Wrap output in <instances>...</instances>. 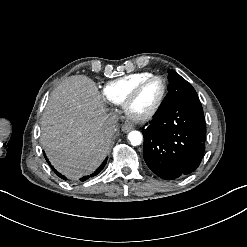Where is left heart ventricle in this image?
<instances>
[{
    "label": "left heart ventricle",
    "mask_w": 247,
    "mask_h": 247,
    "mask_svg": "<svg viewBox=\"0 0 247 247\" xmlns=\"http://www.w3.org/2000/svg\"><path fill=\"white\" fill-rule=\"evenodd\" d=\"M162 83L159 80L146 82L129 108L131 115L137 116L147 113L155 107L162 95Z\"/></svg>",
    "instance_id": "b2bd125f"
}]
</instances>
